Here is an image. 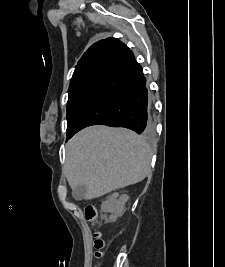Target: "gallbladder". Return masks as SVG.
<instances>
[{
  "mask_svg": "<svg viewBox=\"0 0 225 267\" xmlns=\"http://www.w3.org/2000/svg\"><path fill=\"white\" fill-rule=\"evenodd\" d=\"M87 192V188L84 185H79L72 189V196L76 200H82Z\"/></svg>",
  "mask_w": 225,
  "mask_h": 267,
  "instance_id": "1",
  "label": "gallbladder"
}]
</instances>
